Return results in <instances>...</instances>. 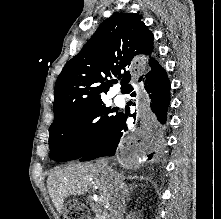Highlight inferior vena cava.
Returning a JSON list of instances; mask_svg holds the SVG:
<instances>
[{
  "label": "inferior vena cava",
  "instance_id": "inferior-vena-cava-1",
  "mask_svg": "<svg viewBox=\"0 0 221 219\" xmlns=\"http://www.w3.org/2000/svg\"><path fill=\"white\" fill-rule=\"evenodd\" d=\"M100 165L104 170H109L107 161L105 159L100 160ZM112 178L114 179L115 177L113 176ZM114 189L116 190L117 188L115 187ZM116 197L117 199L114 202L112 208L110 209L109 218L110 219H123L126 193L123 192L121 195L117 194Z\"/></svg>",
  "mask_w": 221,
  "mask_h": 219
}]
</instances>
